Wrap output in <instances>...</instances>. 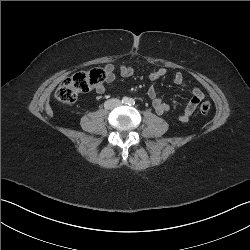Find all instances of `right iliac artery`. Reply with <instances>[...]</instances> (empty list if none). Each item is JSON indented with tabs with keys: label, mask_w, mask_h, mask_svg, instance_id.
<instances>
[{
	"label": "right iliac artery",
	"mask_w": 250,
	"mask_h": 250,
	"mask_svg": "<svg viewBox=\"0 0 250 250\" xmlns=\"http://www.w3.org/2000/svg\"><path fill=\"white\" fill-rule=\"evenodd\" d=\"M128 102H129V100H128L127 97H124V98L122 99V103L127 104Z\"/></svg>",
	"instance_id": "obj_1"
}]
</instances>
